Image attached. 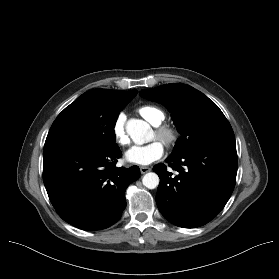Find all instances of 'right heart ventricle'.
<instances>
[{
	"label": "right heart ventricle",
	"mask_w": 279,
	"mask_h": 279,
	"mask_svg": "<svg viewBox=\"0 0 279 279\" xmlns=\"http://www.w3.org/2000/svg\"><path fill=\"white\" fill-rule=\"evenodd\" d=\"M138 113L152 125H159L164 120V113L152 105H143L138 109Z\"/></svg>",
	"instance_id": "obj_1"
}]
</instances>
